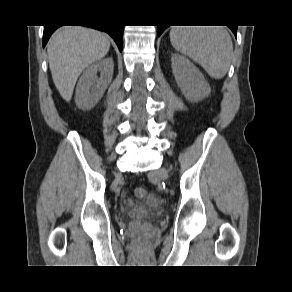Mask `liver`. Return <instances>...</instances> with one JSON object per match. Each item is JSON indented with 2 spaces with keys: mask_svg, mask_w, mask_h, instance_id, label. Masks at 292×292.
I'll use <instances>...</instances> for the list:
<instances>
[{
  "mask_svg": "<svg viewBox=\"0 0 292 292\" xmlns=\"http://www.w3.org/2000/svg\"><path fill=\"white\" fill-rule=\"evenodd\" d=\"M109 48L108 36L95 29L64 26L55 31L47 52L53 82L64 100H71L82 71L103 58Z\"/></svg>",
  "mask_w": 292,
  "mask_h": 292,
  "instance_id": "1",
  "label": "liver"
}]
</instances>
